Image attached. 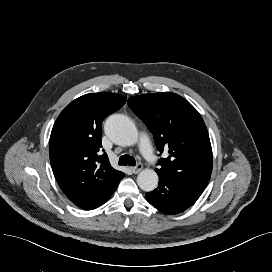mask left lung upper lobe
<instances>
[{
  "mask_svg": "<svg viewBox=\"0 0 272 272\" xmlns=\"http://www.w3.org/2000/svg\"><path fill=\"white\" fill-rule=\"evenodd\" d=\"M128 105L153 133L160 153L169 154L159 160L158 175L206 187L212 172V149L198 111L172 92L130 97Z\"/></svg>",
  "mask_w": 272,
  "mask_h": 272,
  "instance_id": "1",
  "label": "left lung upper lobe"
}]
</instances>
